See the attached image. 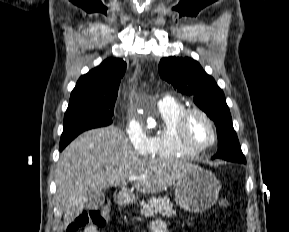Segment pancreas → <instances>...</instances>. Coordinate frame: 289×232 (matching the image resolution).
<instances>
[{
  "label": "pancreas",
  "mask_w": 289,
  "mask_h": 232,
  "mask_svg": "<svg viewBox=\"0 0 289 232\" xmlns=\"http://www.w3.org/2000/svg\"><path fill=\"white\" fill-rule=\"evenodd\" d=\"M141 206L140 214L145 216L159 213L162 216L171 217L175 214L173 205L167 197H153L149 199L147 203L142 202Z\"/></svg>",
  "instance_id": "obj_1"
}]
</instances>
